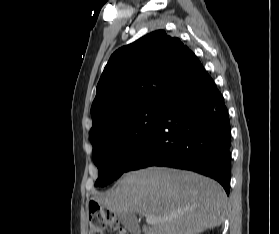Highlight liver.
Segmentation results:
<instances>
[{
	"mask_svg": "<svg viewBox=\"0 0 279 234\" xmlns=\"http://www.w3.org/2000/svg\"><path fill=\"white\" fill-rule=\"evenodd\" d=\"M95 200L113 213L151 215L144 234H198L220 226L227 196L216 181L176 169L150 167L126 173Z\"/></svg>",
	"mask_w": 279,
	"mask_h": 234,
	"instance_id": "6515ba94",
	"label": "liver"
}]
</instances>
